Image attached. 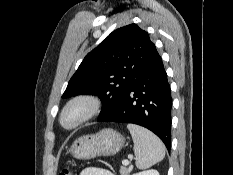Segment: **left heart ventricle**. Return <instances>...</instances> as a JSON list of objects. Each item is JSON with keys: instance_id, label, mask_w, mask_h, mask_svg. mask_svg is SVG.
Returning <instances> with one entry per match:
<instances>
[{"instance_id": "b2bd125f", "label": "left heart ventricle", "mask_w": 233, "mask_h": 175, "mask_svg": "<svg viewBox=\"0 0 233 175\" xmlns=\"http://www.w3.org/2000/svg\"><path fill=\"white\" fill-rule=\"evenodd\" d=\"M81 110L80 109H75L73 110L71 113L68 114V116L66 117V121L67 122H72L73 120H75L79 114H80Z\"/></svg>"}]
</instances>
